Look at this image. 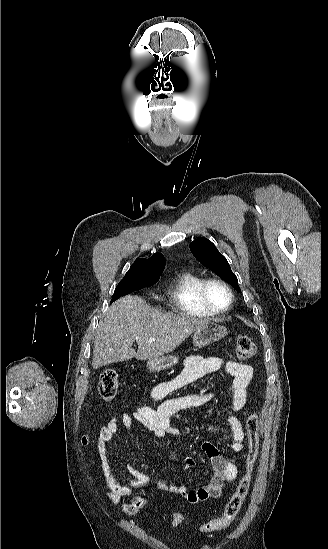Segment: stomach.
Here are the masks:
<instances>
[{"label": "stomach", "mask_w": 328, "mask_h": 549, "mask_svg": "<svg viewBox=\"0 0 328 549\" xmlns=\"http://www.w3.org/2000/svg\"><path fill=\"white\" fill-rule=\"evenodd\" d=\"M227 329L223 325H218L215 321H209L207 325H203L200 329H197L193 335V345L194 347H206V345H211L215 341H220L223 337H226ZM179 359L178 357H173V355H162V357H156V359H149L147 361V367L150 373H160V371H165V369H170L177 365Z\"/></svg>", "instance_id": "obj_1"}]
</instances>
